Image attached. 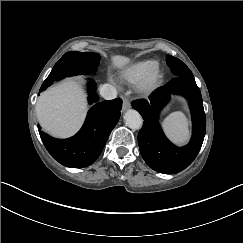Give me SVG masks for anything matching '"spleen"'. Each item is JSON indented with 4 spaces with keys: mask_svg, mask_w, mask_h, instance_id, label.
<instances>
[{
    "mask_svg": "<svg viewBox=\"0 0 243 243\" xmlns=\"http://www.w3.org/2000/svg\"><path fill=\"white\" fill-rule=\"evenodd\" d=\"M166 132L177 143L186 142L189 135L187 121L182 113H173L164 122Z\"/></svg>",
    "mask_w": 243,
    "mask_h": 243,
    "instance_id": "1",
    "label": "spleen"
}]
</instances>
